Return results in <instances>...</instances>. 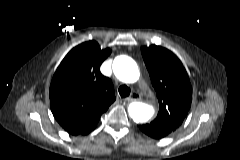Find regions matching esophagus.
I'll use <instances>...</instances> for the list:
<instances>
[{"instance_id":"1","label":"esophagus","mask_w":240,"mask_h":160,"mask_svg":"<svg viewBox=\"0 0 240 160\" xmlns=\"http://www.w3.org/2000/svg\"><path fill=\"white\" fill-rule=\"evenodd\" d=\"M141 99L140 94L137 91H134L130 97L126 98V102L139 101Z\"/></svg>"}]
</instances>
